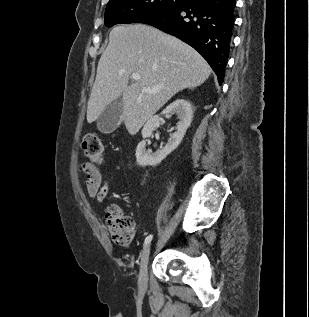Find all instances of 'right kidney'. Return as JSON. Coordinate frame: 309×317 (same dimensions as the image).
<instances>
[{
    "label": "right kidney",
    "instance_id": "obj_1",
    "mask_svg": "<svg viewBox=\"0 0 309 317\" xmlns=\"http://www.w3.org/2000/svg\"><path fill=\"white\" fill-rule=\"evenodd\" d=\"M177 114L179 122L177 125V130L174 132L168 140V143L164 148L157 150L155 153H151L146 150L145 140L141 141L136 149V160L137 163L142 166H156L163 159H165L171 152H173L181 143L187 129L191 125L193 118V110L191 104L185 99H177L171 103L163 112L162 115H172ZM161 118L159 116H154L150 118L145 124L142 130L143 138H148L151 136L153 130L160 125Z\"/></svg>",
    "mask_w": 309,
    "mask_h": 317
}]
</instances>
